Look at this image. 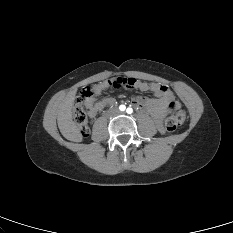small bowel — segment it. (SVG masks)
<instances>
[{
  "mask_svg": "<svg viewBox=\"0 0 233 233\" xmlns=\"http://www.w3.org/2000/svg\"><path fill=\"white\" fill-rule=\"evenodd\" d=\"M135 88L140 91H151L154 93L155 98L145 96L132 97V105L142 112L151 115L155 121L157 128L162 130V121L166 114L171 111L170 105L173 104V108L179 107L178 102L175 100L172 91L168 86L160 84L158 82L146 83L136 80ZM106 88V82L97 84L93 87L95 91L101 92ZM115 100L113 98H94L91 101L88 113L91 117L95 116L100 110L107 106L114 105Z\"/></svg>",
  "mask_w": 233,
  "mask_h": 233,
  "instance_id": "obj_1",
  "label": "small bowel"
}]
</instances>
